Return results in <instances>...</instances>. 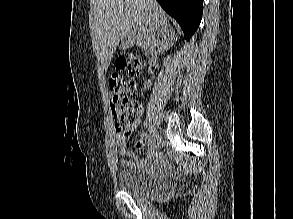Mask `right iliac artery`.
<instances>
[{"instance_id": "right-iliac-artery-1", "label": "right iliac artery", "mask_w": 293, "mask_h": 219, "mask_svg": "<svg viewBox=\"0 0 293 219\" xmlns=\"http://www.w3.org/2000/svg\"><path fill=\"white\" fill-rule=\"evenodd\" d=\"M146 138H150L151 132L145 134Z\"/></svg>"}]
</instances>
